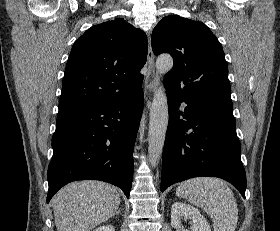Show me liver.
<instances>
[{"mask_svg": "<svg viewBox=\"0 0 280 231\" xmlns=\"http://www.w3.org/2000/svg\"><path fill=\"white\" fill-rule=\"evenodd\" d=\"M51 203L57 231H90L114 215L120 195L110 183L85 179L64 185Z\"/></svg>", "mask_w": 280, "mask_h": 231, "instance_id": "obj_1", "label": "liver"}]
</instances>
